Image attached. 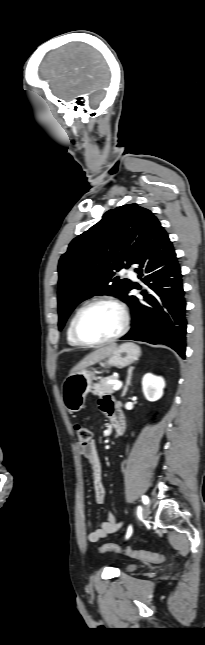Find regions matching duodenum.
Returning <instances> with one entry per match:
<instances>
[{"mask_svg":"<svg viewBox=\"0 0 205 645\" xmlns=\"http://www.w3.org/2000/svg\"><path fill=\"white\" fill-rule=\"evenodd\" d=\"M113 427L118 435H121L125 429L124 418L121 411L115 412L112 418Z\"/></svg>","mask_w":205,"mask_h":645,"instance_id":"duodenum-1","label":"duodenum"}]
</instances>
